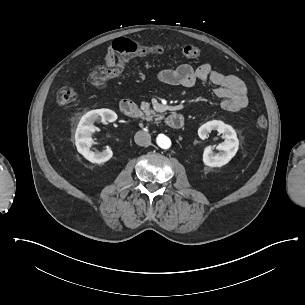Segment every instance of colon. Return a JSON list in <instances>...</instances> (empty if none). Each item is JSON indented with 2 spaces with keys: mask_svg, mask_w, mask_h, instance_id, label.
<instances>
[{
  "mask_svg": "<svg viewBox=\"0 0 305 305\" xmlns=\"http://www.w3.org/2000/svg\"><path fill=\"white\" fill-rule=\"evenodd\" d=\"M113 43L116 49L115 62L112 65L95 67L88 77V83L93 87L101 88L109 79L120 74L130 58L156 53L154 47H146L138 44V40L134 36L117 38ZM165 50L166 48L160 49L159 54H162ZM182 52L189 59H200L204 55L200 47L192 44L185 45L182 48ZM56 99L60 105L70 104L76 100V92L72 87L62 86L58 90ZM256 123L258 127L265 128L267 119L265 116H259Z\"/></svg>",
  "mask_w": 305,
  "mask_h": 305,
  "instance_id": "1",
  "label": "colon"
}]
</instances>
